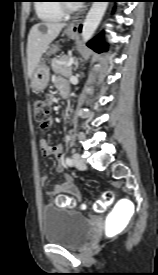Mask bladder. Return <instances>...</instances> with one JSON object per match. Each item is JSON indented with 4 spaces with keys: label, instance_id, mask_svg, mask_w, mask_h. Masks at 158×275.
<instances>
[{
    "label": "bladder",
    "instance_id": "bladder-1",
    "mask_svg": "<svg viewBox=\"0 0 158 275\" xmlns=\"http://www.w3.org/2000/svg\"><path fill=\"white\" fill-rule=\"evenodd\" d=\"M44 240L66 248L80 247L90 236V220L78 211L47 205L42 210Z\"/></svg>",
    "mask_w": 158,
    "mask_h": 275
}]
</instances>
